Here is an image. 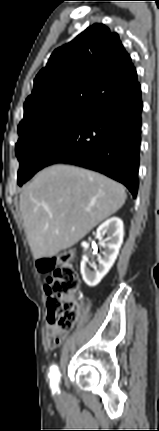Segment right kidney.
Wrapping results in <instances>:
<instances>
[{"label": "right kidney", "instance_id": "obj_1", "mask_svg": "<svg viewBox=\"0 0 159 431\" xmlns=\"http://www.w3.org/2000/svg\"><path fill=\"white\" fill-rule=\"evenodd\" d=\"M104 234L107 235L105 240L107 243H102L104 247L103 256L98 258V264L92 265L94 270L92 271L87 267L88 259L81 261L82 278L90 287H95L100 283L118 256L124 237L122 220L118 217H112L101 224L97 229L96 238L101 240Z\"/></svg>", "mask_w": 159, "mask_h": 431}]
</instances>
